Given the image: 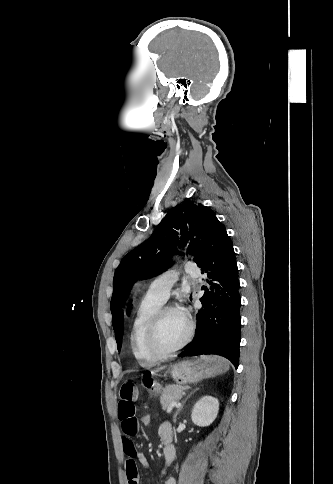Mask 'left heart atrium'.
I'll return each mask as SVG.
<instances>
[{"mask_svg":"<svg viewBox=\"0 0 333 484\" xmlns=\"http://www.w3.org/2000/svg\"><path fill=\"white\" fill-rule=\"evenodd\" d=\"M178 312H179V314H180V315H181L183 318H185L186 320H188V315H187V311H186V309H185V308H181V309H179V310H178Z\"/></svg>","mask_w":333,"mask_h":484,"instance_id":"1","label":"left heart atrium"}]
</instances>
